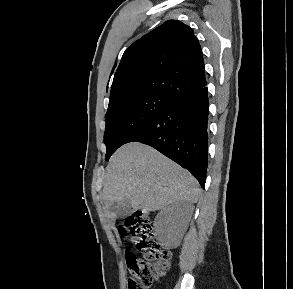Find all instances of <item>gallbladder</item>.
Here are the masks:
<instances>
[{"label": "gallbladder", "instance_id": "bac80fb5", "mask_svg": "<svg viewBox=\"0 0 293 289\" xmlns=\"http://www.w3.org/2000/svg\"><path fill=\"white\" fill-rule=\"evenodd\" d=\"M109 211L117 218H124L132 213L133 207L128 199H124L119 203H113L110 206Z\"/></svg>", "mask_w": 293, "mask_h": 289}]
</instances>
